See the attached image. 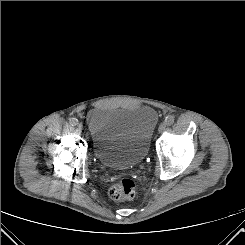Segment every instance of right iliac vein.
Listing matches in <instances>:
<instances>
[{"label": "right iliac vein", "mask_w": 245, "mask_h": 245, "mask_svg": "<svg viewBox=\"0 0 245 245\" xmlns=\"http://www.w3.org/2000/svg\"><path fill=\"white\" fill-rule=\"evenodd\" d=\"M82 124L81 123H79L78 125H77V129H79V130H81L82 129Z\"/></svg>", "instance_id": "right-iliac-vein-1"}]
</instances>
